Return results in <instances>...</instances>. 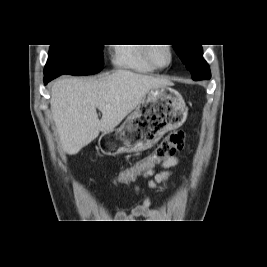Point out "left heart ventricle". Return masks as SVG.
<instances>
[{
    "label": "left heart ventricle",
    "instance_id": "1",
    "mask_svg": "<svg viewBox=\"0 0 267 267\" xmlns=\"http://www.w3.org/2000/svg\"><path fill=\"white\" fill-rule=\"evenodd\" d=\"M168 52L165 48H157L155 51V59L159 64H166L168 62Z\"/></svg>",
    "mask_w": 267,
    "mask_h": 267
}]
</instances>
